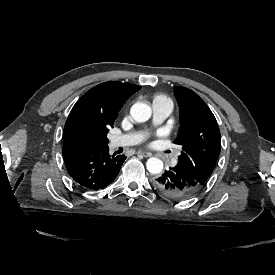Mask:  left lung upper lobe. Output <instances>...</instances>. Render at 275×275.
Wrapping results in <instances>:
<instances>
[{"label": "left lung upper lobe", "mask_w": 275, "mask_h": 275, "mask_svg": "<svg viewBox=\"0 0 275 275\" xmlns=\"http://www.w3.org/2000/svg\"><path fill=\"white\" fill-rule=\"evenodd\" d=\"M173 90L181 125L174 141L182 148L177 165L204 185L220 153V130L213 113L195 92L179 86Z\"/></svg>", "instance_id": "1"}]
</instances>
